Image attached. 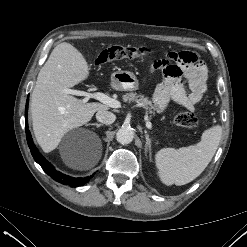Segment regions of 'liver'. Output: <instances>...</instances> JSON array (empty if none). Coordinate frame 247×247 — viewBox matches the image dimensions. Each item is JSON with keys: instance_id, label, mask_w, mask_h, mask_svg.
Returning a JSON list of instances; mask_svg holds the SVG:
<instances>
[{"instance_id": "obj_1", "label": "liver", "mask_w": 247, "mask_h": 247, "mask_svg": "<svg viewBox=\"0 0 247 247\" xmlns=\"http://www.w3.org/2000/svg\"><path fill=\"white\" fill-rule=\"evenodd\" d=\"M88 76L86 59L67 42L57 45L41 68L31 95V115L36 140L44 152L57 148L67 132L89 122L95 112L108 109L107 105L86 103L65 92ZM100 158L101 149L87 160H67L66 164L86 170L94 167Z\"/></svg>"}]
</instances>
